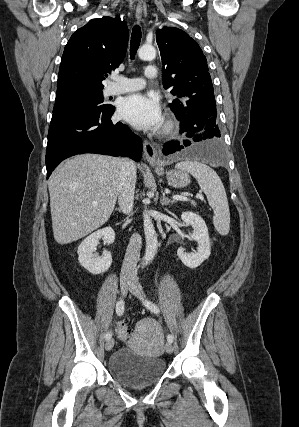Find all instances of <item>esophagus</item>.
Masks as SVG:
<instances>
[{
    "label": "esophagus",
    "instance_id": "obj_1",
    "mask_svg": "<svg viewBox=\"0 0 299 427\" xmlns=\"http://www.w3.org/2000/svg\"><path fill=\"white\" fill-rule=\"evenodd\" d=\"M135 16H136V19L138 22H140L142 20V8L140 5H138L136 8ZM143 150H144L145 159L148 161V163L150 165H157L159 162L158 153H157V150L154 147V145L152 143H150L149 141L144 140L143 141Z\"/></svg>",
    "mask_w": 299,
    "mask_h": 427
}]
</instances>
